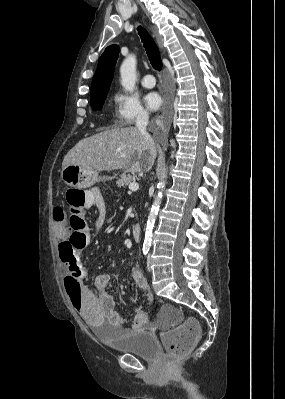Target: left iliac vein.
<instances>
[{
    "instance_id": "4c4485c4",
    "label": "left iliac vein",
    "mask_w": 285,
    "mask_h": 399,
    "mask_svg": "<svg viewBox=\"0 0 285 399\" xmlns=\"http://www.w3.org/2000/svg\"><path fill=\"white\" fill-rule=\"evenodd\" d=\"M147 269L148 271L151 273L152 269H151V253L149 254V256L147 257Z\"/></svg>"
}]
</instances>
